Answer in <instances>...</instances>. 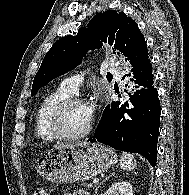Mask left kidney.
Wrapping results in <instances>:
<instances>
[{"label": "left kidney", "mask_w": 189, "mask_h": 195, "mask_svg": "<svg viewBox=\"0 0 189 195\" xmlns=\"http://www.w3.org/2000/svg\"><path fill=\"white\" fill-rule=\"evenodd\" d=\"M104 195H133V190L127 181L115 182Z\"/></svg>", "instance_id": "obj_1"}]
</instances>
